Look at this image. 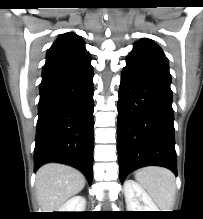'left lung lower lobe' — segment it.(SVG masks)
Wrapping results in <instances>:
<instances>
[{"instance_id":"1","label":"left lung lower lobe","mask_w":203,"mask_h":219,"mask_svg":"<svg viewBox=\"0 0 203 219\" xmlns=\"http://www.w3.org/2000/svg\"><path fill=\"white\" fill-rule=\"evenodd\" d=\"M170 83L168 68L127 58L117 106L121 182L144 166L166 167L177 175Z\"/></svg>"}]
</instances>
